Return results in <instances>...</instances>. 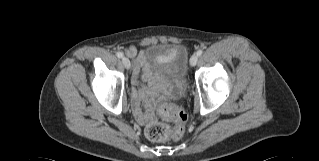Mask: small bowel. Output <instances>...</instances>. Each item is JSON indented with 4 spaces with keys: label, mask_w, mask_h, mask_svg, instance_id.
Segmentation results:
<instances>
[{
    "label": "small bowel",
    "mask_w": 319,
    "mask_h": 161,
    "mask_svg": "<svg viewBox=\"0 0 319 161\" xmlns=\"http://www.w3.org/2000/svg\"><path fill=\"white\" fill-rule=\"evenodd\" d=\"M125 53L130 58H135L134 60V69L132 73V83L136 86H139L143 80H151V77L143 72V63H144V56L143 52L137 53V49L134 46H129L126 48ZM158 92V89L156 87H140L139 89L135 90L133 93V97L136 100V102H139L144 99H148L152 96H154ZM169 91H165V93H168ZM154 106V103L152 101H149L147 105V111H143L140 108V105L138 103L134 106V111L136 116L147 122L152 119V108Z\"/></svg>",
    "instance_id": "small-bowel-1"
}]
</instances>
